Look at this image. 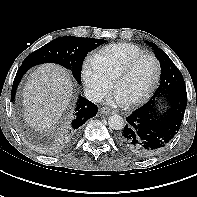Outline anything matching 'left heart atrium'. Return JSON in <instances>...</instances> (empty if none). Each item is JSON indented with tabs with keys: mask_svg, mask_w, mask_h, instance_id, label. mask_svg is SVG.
<instances>
[{
	"mask_svg": "<svg viewBox=\"0 0 197 197\" xmlns=\"http://www.w3.org/2000/svg\"><path fill=\"white\" fill-rule=\"evenodd\" d=\"M108 102L111 104L123 105L126 103V100L122 97L120 92L115 89L108 97Z\"/></svg>",
	"mask_w": 197,
	"mask_h": 197,
	"instance_id": "left-heart-atrium-1",
	"label": "left heart atrium"
}]
</instances>
